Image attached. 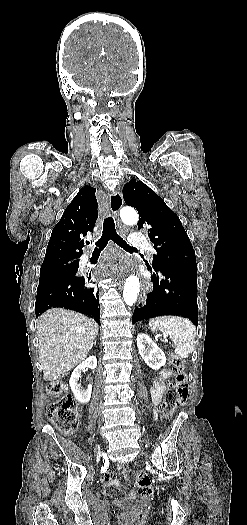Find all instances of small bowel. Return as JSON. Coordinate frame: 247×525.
Masks as SVG:
<instances>
[{
    "instance_id": "small-bowel-1",
    "label": "small bowel",
    "mask_w": 247,
    "mask_h": 525,
    "mask_svg": "<svg viewBox=\"0 0 247 525\" xmlns=\"http://www.w3.org/2000/svg\"><path fill=\"white\" fill-rule=\"evenodd\" d=\"M174 375V371L170 369H164L162 370L154 384V387L152 389V401L155 405H158L161 402L162 396L166 390V380ZM121 470L124 471V467L122 465L119 466ZM105 479V485L109 488L110 492L114 494L113 501L116 504H121L124 501V496L121 493H118L120 490L121 482L119 479L115 478L114 474L111 472H108L104 476ZM128 496H132L133 492L127 491L126 492Z\"/></svg>"
}]
</instances>
